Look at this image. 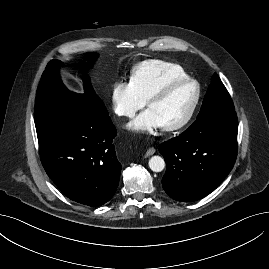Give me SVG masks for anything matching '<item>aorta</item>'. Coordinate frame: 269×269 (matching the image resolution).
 <instances>
[{"label":"aorta","mask_w":269,"mask_h":269,"mask_svg":"<svg viewBox=\"0 0 269 269\" xmlns=\"http://www.w3.org/2000/svg\"><path fill=\"white\" fill-rule=\"evenodd\" d=\"M165 167V161L160 156H153L149 160V168L153 172H161Z\"/></svg>","instance_id":"aorta-1"}]
</instances>
